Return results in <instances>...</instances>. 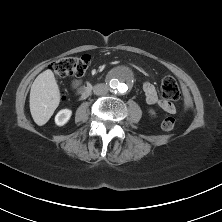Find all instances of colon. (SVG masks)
I'll use <instances>...</instances> for the list:
<instances>
[{
  "label": "colon",
  "mask_w": 222,
  "mask_h": 222,
  "mask_svg": "<svg viewBox=\"0 0 222 222\" xmlns=\"http://www.w3.org/2000/svg\"><path fill=\"white\" fill-rule=\"evenodd\" d=\"M91 64L89 55L79 57H65L58 59L50 65V69L58 77L83 76ZM161 92L165 99L176 100L180 96V88L176 79L170 75L163 78L161 83ZM176 120L174 117H166L162 122L164 130L174 128Z\"/></svg>",
  "instance_id": "colon-1"
}]
</instances>
